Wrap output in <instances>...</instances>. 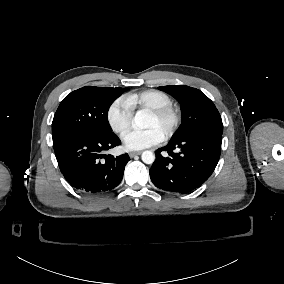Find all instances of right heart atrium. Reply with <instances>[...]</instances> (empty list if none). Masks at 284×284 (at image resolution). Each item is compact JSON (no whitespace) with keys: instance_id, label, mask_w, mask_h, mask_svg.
<instances>
[{"instance_id":"1","label":"right heart atrium","mask_w":284,"mask_h":284,"mask_svg":"<svg viewBox=\"0 0 284 284\" xmlns=\"http://www.w3.org/2000/svg\"><path fill=\"white\" fill-rule=\"evenodd\" d=\"M133 116V106L130 98L121 96L113 100L106 111V121L109 128L116 134L129 128Z\"/></svg>"}]
</instances>
